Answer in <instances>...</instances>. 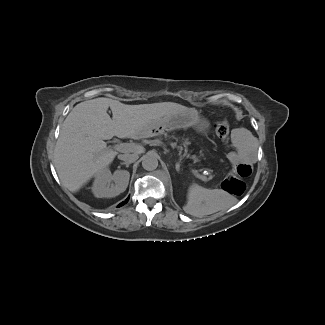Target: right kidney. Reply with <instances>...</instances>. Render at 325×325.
I'll list each match as a JSON object with an SVG mask.
<instances>
[{
  "label": "right kidney",
  "mask_w": 325,
  "mask_h": 325,
  "mask_svg": "<svg viewBox=\"0 0 325 325\" xmlns=\"http://www.w3.org/2000/svg\"><path fill=\"white\" fill-rule=\"evenodd\" d=\"M129 178L128 171L116 170L112 174L108 168H105L96 174L92 192L97 198L116 197L126 190Z\"/></svg>",
  "instance_id": "ca27d5eb"
}]
</instances>
